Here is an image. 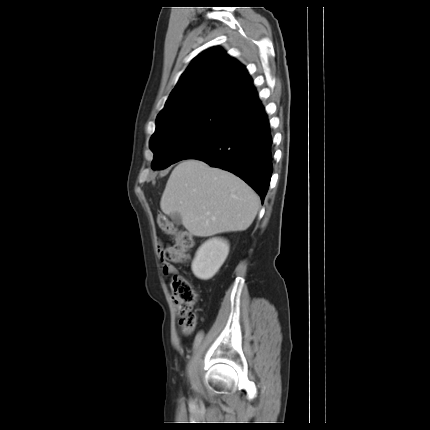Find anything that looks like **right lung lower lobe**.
I'll list each match as a JSON object with an SVG mask.
<instances>
[{
    "label": "right lung lower lobe",
    "mask_w": 430,
    "mask_h": 430,
    "mask_svg": "<svg viewBox=\"0 0 430 430\" xmlns=\"http://www.w3.org/2000/svg\"><path fill=\"white\" fill-rule=\"evenodd\" d=\"M186 159H198L236 174L260 195L263 202L273 171L272 136L259 99L238 114L226 130Z\"/></svg>",
    "instance_id": "obj_1"
}]
</instances>
